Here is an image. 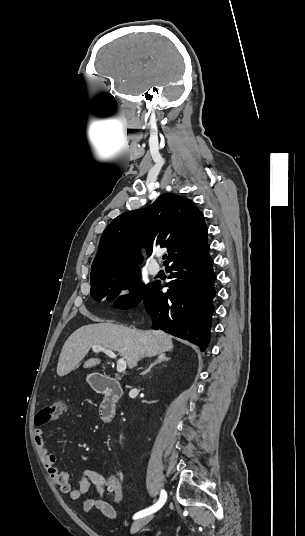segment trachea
<instances>
[{"label": "trachea", "instance_id": "3493384b", "mask_svg": "<svg viewBox=\"0 0 305 536\" xmlns=\"http://www.w3.org/2000/svg\"><path fill=\"white\" fill-rule=\"evenodd\" d=\"M165 258H166V255L163 256V259H165Z\"/></svg>", "mask_w": 305, "mask_h": 536}]
</instances>
